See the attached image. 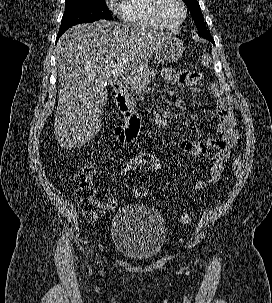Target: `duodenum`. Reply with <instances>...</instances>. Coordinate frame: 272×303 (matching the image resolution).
I'll use <instances>...</instances> for the list:
<instances>
[{
	"mask_svg": "<svg viewBox=\"0 0 272 303\" xmlns=\"http://www.w3.org/2000/svg\"><path fill=\"white\" fill-rule=\"evenodd\" d=\"M114 90L116 92L115 100L117 107L124 116L125 122L113 129L114 137L120 142H127L138 131L140 126V119L132 111L130 105L124 94L125 82L123 80H116L114 82Z\"/></svg>",
	"mask_w": 272,
	"mask_h": 303,
	"instance_id": "duodenum-1",
	"label": "duodenum"
}]
</instances>
